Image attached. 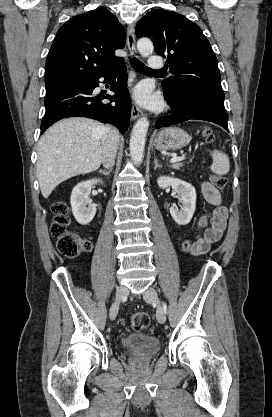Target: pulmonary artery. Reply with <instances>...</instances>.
<instances>
[{"instance_id": "e3ab8cb5", "label": "pulmonary artery", "mask_w": 272, "mask_h": 417, "mask_svg": "<svg viewBox=\"0 0 272 417\" xmlns=\"http://www.w3.org/2000/svg\"><path fill=\"white\" fill-rule=\"evenodd\" d=\"M164 67V61L159 56H151L149 59V68L158 70Z\"/></svg>"}]
</instances>
